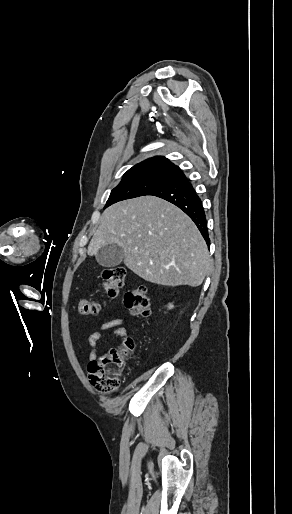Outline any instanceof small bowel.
I'll return each mask as SVG.
<instances>
[{"label": "small bowel", "mask_w": 292, "mask_h": 514, "mask_svg": "<svg viewBox=\"0 0 292 514\" xmlns=\"http://www.w3.org/2000/svg\"><path fill=\"white\" fill-rule=\"evenodd\" d=\"M124 323V318L110 319L104 321L98 330L90 334L88 339L90 362L96 360L98 343L100 341L109 337H120L123 339H127L129 337L128 330L124 326ZM91 365H94V362H91Z\"/></svg>", "instance_id": "c3829d8e"}]
</instances>
